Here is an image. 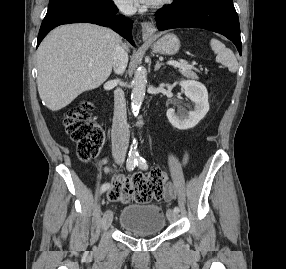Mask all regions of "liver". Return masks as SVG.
<instances>
[{"label": "liver", "instance_id": "liver-1", "mask_svg": "<svg viewBox=\"0 0 286 269\" xmlns=\"http://www.w3.org/2000/svg\"><path fill=\"white\" fill-rule=\"evenodd\" d=\"M120 37L89 23L63 25L51 31L37 51V86L51 111L69 105L110 76Z\"/></svg>", "mask_w": 286, "mask_h": 269}]
</instances>
